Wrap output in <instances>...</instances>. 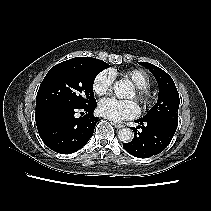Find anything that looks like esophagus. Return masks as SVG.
<instances>
[{"mask_svg": "<svg viewBox=\"0 0 211 211\" xmlns=\"http://www.w3.org/2000/svg\"><path fill=\"white\" fill-rule=\"evenodd\" d=\"M113 125L117 128V129H121L123 127H125V125L123 123H113Z\"/></svg>", "mask_w": 211, "mask_h": 211, "instance_id": "obj_1", "label": "esophagus"}]
</instances>
